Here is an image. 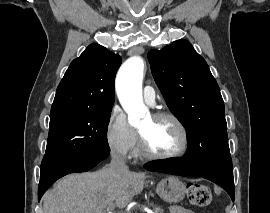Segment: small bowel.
<instances>
[{"instance_id": "1", "label": "small bowel", "mask_w": 270, "mask_h": 213, "mask_svg": "<svg viewBox=\"0 0 270 213\" xmlns=\"http://www.w3.org/2000/svg\"><path fill=\"white\" fill-rule=\"evenodd\" d=\"M170 213H194V212L191 210L185 209L183 207L172 206L170 208Z\"/></svg>"}]
</instances>
